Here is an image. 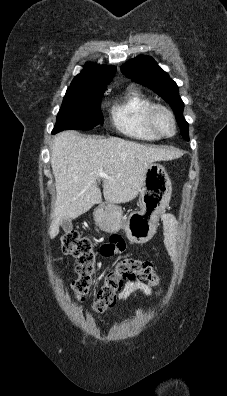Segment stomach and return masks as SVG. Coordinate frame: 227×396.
<instances>
[{
    "label": "stomach",
    "mask_w": 227,
    "mask_h": 396,
    "mask_svg": "<svg viewBox=\"0 0 227 396\" xmlns=\"http://www.w3.org/2000/svg\"><path fill=\"white\" fill-rule=\"evenodd\" d=\"M172 183L165 168L155 162L145 170L140 188V211L123 218L121 207L101 203L94 210L96 225L105 232L114 233L124 229L131 243H146L155 234L159 216L170 202Z\"/></svg>",
    "instance_id": "stomach-1"
}]
</instances>
